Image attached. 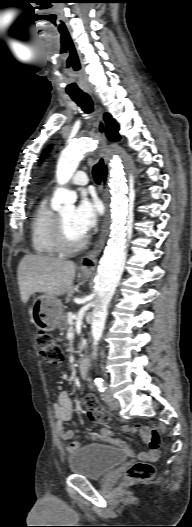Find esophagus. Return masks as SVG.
<instances>
[{"label": "esophagus", "mask_w": 192, "mask_h": 527, "mask_svg": "<svg viewBox=\"0 0 192 527\" xmlns=\"http://www.w3.org/2000/svg\"><path fill=\"white\" fill-rule=\"evenodd\" d=\"M92 94V93H91ZM97 130L102 141L103 146V176L101 182L102 198L105 203L106 213L103 219L101 232L98 240L96 241L92 250L86 253L80 260V270L83 272H92L95 270L98 262V256L102 251L107 234H108V180H109V155H108V143L105 137V122L103 120V111L98 108V119H97Z\"/></svg>", "instance_id": "obj_1"}]
</instances>
